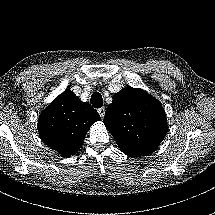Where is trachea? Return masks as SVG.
I'll return each instance as SVG.
<instances>
[{
  "label": "trachea",
  "mask_w": 215,
  "mask_h": 215,
  "mask_svg": "<svg viewBox=\"0 0 215 215\" xmlns=\"http://www.w3.org/2000/svg\"><path fill=\"white\" fill-rule=\"evenodd\" d=\"M91 104L93 105V107L98 108V109L102 107L103 99H102V96L98 92H95L92 94Z\"/></svg>",
  "instance_id": "obj_1"
}]
</instances>
